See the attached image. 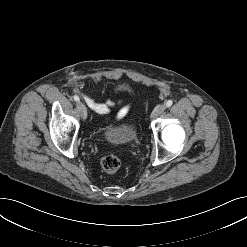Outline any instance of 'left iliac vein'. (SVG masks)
<instances>
[{
	"mask_svg": "<svg viewBox=\"0 0 247 247\" xmlns=\"http://www.w3.org/2000/svg\"><path fill=\"white\" fill-rule=\"evenodd\" d=\"M166 110V106L164 104H159L158 106L155 107L151 114V118L154 119L161 115L164 111Z\"/></svg>",
	"mask_w": 247,
	"mask_h": 247,
	"instance_id": "1",
	"label": "left iliac vein"
}]
</instances>
